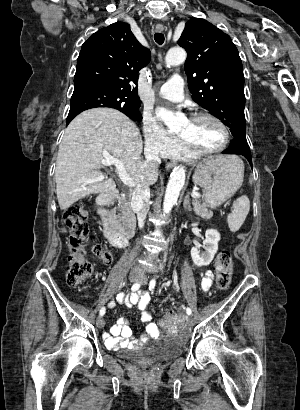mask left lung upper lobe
Here are the masks:
<instances>
[{"mask_svg": "<svg viewBox=\"0 0 300 410\" xmlns=\"http://www.w3.org/2000/svg\"><path fill=\"white\" fill-rule=\"evenodd\" d=\"M178 45L187 51L185 73L193 100L246 140L242 62L229 35L200 18L185 24Z\"/></svg>", "mask_w": 300, "mask_h": 410, "instance_id": "1", "label": "left lung upper lobe"}]
</instances>
